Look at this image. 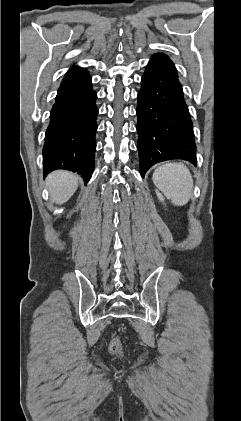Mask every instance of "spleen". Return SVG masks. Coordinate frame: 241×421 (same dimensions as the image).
Segmentation results:
<instances>
[{
    "label": "spleen",
    "instance_id": "obj_1",
    "mask_svg": "<svg viewBox=\"0 0 241 421\" xmlns=\"http://www.w3.org/2000/svg\"><path fill=\"white\" fill-rule=\"evenodd\" d=\"M152 180L176 206L186 205L193 196V178L184 164H162L155 169Z\"/></svg>",
    "mask_w": 241,
    "mask_h": 421
}]
</instances>
